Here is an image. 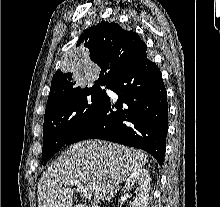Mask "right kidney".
<instances>
[{"instance_id": "right-kidney-1", "label": "right kidney", "mask_w": 220, "mask_h": 207, "mask_svg": "<svg viewBox=\"0 0 220 207\" xmlns=\"http://www.w3.org/2000/svg\"><path fill=\"white\" fill-rule=\"evenodd\" d=\"M150 175L146 169L139 168L134 170L127 178L125 189L129 191L134 185L137 186L132 203V207H147L150 192Z\"/></svg>"}]
</instances>
